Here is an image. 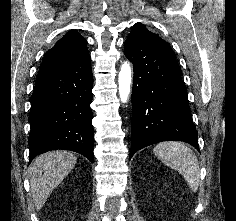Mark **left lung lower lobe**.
I'll use <instances>...</instances> for the list:
<instances>
[{
  "label": "left lung lower lobe",
  "instance_id": "left-lung-lower-lobe-1",
  "mask_svg": "<svg viewBox=\"0 0 236 221\" xmlns=\"http://www.w3.org/2000/svg\"><path fill=\"white\" fill-rule=\"evenodd\" d=\"M125 56L134 67L129 159L146 146L169 140L187 142L199 151L187 90L171 47L133 32L125 41Z\"/></svg>",
  "mask_w": 236,
  "mask_h": 221
}]
</instances>
